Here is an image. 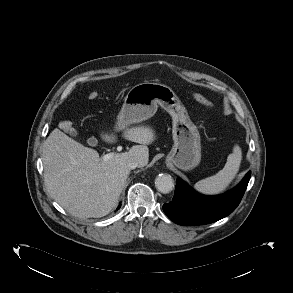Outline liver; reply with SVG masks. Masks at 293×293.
Listing matches in <instances>:
<instances>
[{
  "label": "liver",
  "mask_w": 293,
  "mask_h": 293,
  "mask_svg": "<svg viewBox=\"0 0 293 293\" xmlns=\"http://www.w3.org/2000/svg\"><path fill=\"white\" fill-rule=\"evenodd\" d=\"M127 140L142 144L104 161L96 150L83 146L59 129H54L42 145L45 185L51 197L78 218H99L116 206L130 174L129 161L147 165L155 132L147 126L127 129ZM108 142L115 135H101ZM142 166V167H143Z\"/></svg>",
  "instance_id": "6515ba94"
}]
</instances>
